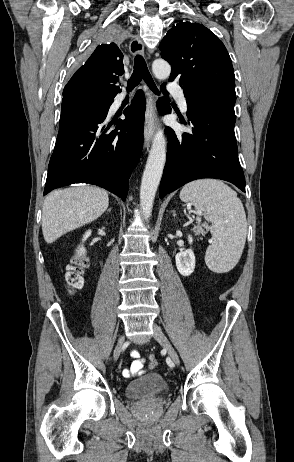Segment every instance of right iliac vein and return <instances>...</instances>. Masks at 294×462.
Masks as SVG:
<instances>
[{
	"mask_svg": "<svg viewBox=\"0 0 294 462\" xmlns=\"http://www.w3.org/2000/svg\"><path fill=\"white\" fill-rule=\"evenodd\" d=\"M124 342H125V339H124V336H120L119 339H118V342L116 344V347H115V350H114V354H113V358L114 360L116 361L119 356H120V353L124 347Z\"/></svg>",
	"mask_w": 294,
	"mask_h": 462,
	"instance_id": "obj_1",
	"label": "right iliac vein"
}]
</instances>
